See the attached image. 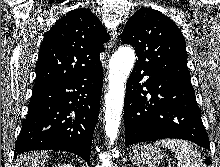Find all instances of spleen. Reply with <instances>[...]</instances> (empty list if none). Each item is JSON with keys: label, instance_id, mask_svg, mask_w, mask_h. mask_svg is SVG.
Here are the masks:
<instances>
[{"label": "spleen", "instance_id": "spleen-1", "mask_svg": "<svg viewBox=\"0 0 220 167\" xmlns=\"http://www.w3.org/2000/svg\"><path fill=\"white\" fill-rule=\"evenodd\" d=\"M154 146H163L174 151L175 158L179 161L178 167H202L203 159L194 146L180 139H162Z\"/></svg>", "mask_w": 220, "mask_h": 167}]
</instances>
